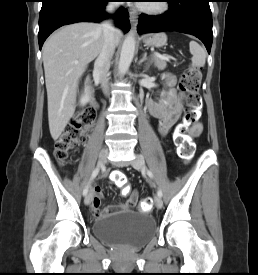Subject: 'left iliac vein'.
I'll use <instances>...</instances> for the list:
<instances>
[{
    "label": "left iliac vein",
    "instance_id": "4c4485c4",
    "mask_svg": "<svg viewBox=\"0 0 258 275\" xmlns=\"http://www.w3.org/2000/svg\"><path fill=\"white\" fill-rule=\"evenodd\" d=\"M131 165L137 170H143L145 168L144 158L140 155H136V158L134 161H132ZM155 205L159 209L162 208L163 201H162L161 197H159V196L155 197Z\"/></svg>",
    "mask_w": 258,
    "mask_h": 275
}]
</instances>
